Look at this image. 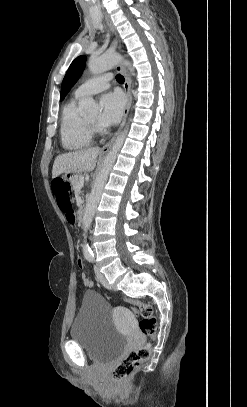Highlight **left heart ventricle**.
<instances>
[{
    "label": "left heart ventricle",
    "mask_w": 247,
    "mask_h": 407,
    "mask_svg": "<svg viewBox=\"0 0 247 407\" xmlns=\"http://www.w3.org/2000/svg\"><path fill=\"white\" fill-rule=\"evenodd\" d=\"M86 117H87V119L89 121H91L93 123H96V124H99V121H98L99 120V113L98 112L88 114V115H86Z\"/></svg>",
    "instance_id": "1"
}]
</instances>
